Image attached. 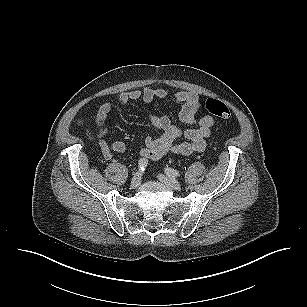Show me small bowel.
Here are the masks:
<instances>
[{
    "label": "small bowel",
    "mask_w": 307,
    "mask_h": 307,
    "mask_svg": "<svg viewBox=\"0 0 307 307\" xmlns=\"http://www.w3.org/2000/svg\"><path fill=\"white\" fill-rule=\"evenodd\" d=\"M167 98L168 92L163 88L148 87L143 90L123 91L119 94V102L122 105L140 100L145 103H151L155 100H166ZM173 100L180 106V120L195 127L181 132L167 116L150 114L153 129L158 132V135L145 138L144 146L140 151L142 159L159 160L171 153L188 156L195 152H201L206 148L207 139L211 134L215 120L211 115L197 118V112L201 106L199 96L195 93L181 90L174 94ZM111 109L112 105L110 103L102 104L95 118L97 137L101 152L105 158H110L113 153H121L126 149L125 143L121 140L111 143L104 140L107 134L106 121ZM182 135L184 140L176 142Z\"/></svg>",
    "instance_id": "obj_1"
}]
</instances>
